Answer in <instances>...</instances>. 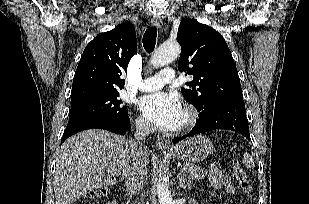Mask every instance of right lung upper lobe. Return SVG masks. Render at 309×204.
<instances>
[{
    "label": "right lung upper lobe",
    "instance_id": "cb5924a9",
    "mask_svg": "<svg viewBox=\"0 0 309 204\" xmlns=\"http://www.w3.org/2000/svg\"><path fill=\"white\" fill-rule=\"evenodd\" d=\"M136 52L135 29L128 21L97 35L86 46L79 61L73 78L71 104L122 89L121 75L127 73L128 63Z\"/></svg>",
    "mask_w": 309,
    "mask_h": 204
}]
</instances>
